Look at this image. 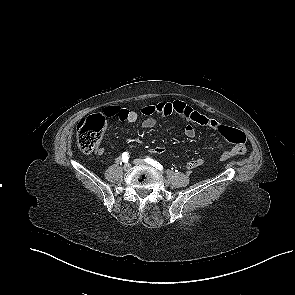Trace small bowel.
Returning <instances> with one entry per match:
<instances>
[{
	"label": "small bowel",
	"instance_id": "c3829d8e",
	"mask_svg": "<svg viewBox=\"0 0 295 295\" xmlns=\"http://www.w3.org/2000/svg\"><path fill=\"white\" fill-rule=\"evenodd\" d=\"M103 113L105 116L109 118H117L121 121H126L129 123L136 122L139 117L137 112L120 106L106 107ZM141 113L145 116V119L141 123V126L144 129H150L155 126L156 115H179L187 122L184 128V134L187 138L195 137L198 126L209 128L215 132L220 133L221 135H223V127H227L219 121L194 110L191 106L178 100L172 102H158L156 104L145 105L142 107ZM95 153L96 155L101 156L104 154V149L98 148ZM203 163L204 160L202 158H194L186 163V168L188 170H192L200 167Z\"/></svg>",
	"mask_w": 295,
	"mask_h": 295
}]
</instances>
